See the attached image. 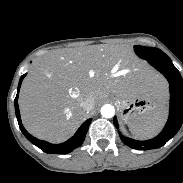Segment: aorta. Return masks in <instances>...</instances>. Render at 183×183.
I'll return each instance as SVG.
<instances>
[{
	"instance_id": "obj_1",
	"label": "aorta",
	"mask_w": 183,
	"mask_h": 183,
	"mask_svg": "<svg viewBox=\"0 0 183 183\" xmlns=\"http://www.w3.org/2000/svg\"><path fill=\"white\" fill-rule=\"evenodd\" d=\"M115 114V108L111 104H105L101 108V115L104 118H112Z\"/></svg>"
}]
</instances>
